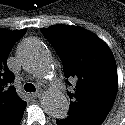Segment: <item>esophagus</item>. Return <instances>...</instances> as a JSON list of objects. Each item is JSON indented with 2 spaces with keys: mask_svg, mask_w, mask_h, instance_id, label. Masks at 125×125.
I'll return each mask as SVG.
<instances>
[{
  "mask_svg": "<svg viewBox=\"0 0 125 125\" xmlns=\"http://www.w3.org/2000/svg\"><path fill=\"white\" fill-rule=\"evenodd\" d=\"M31 96L33 98H39L41 96V92H35V93H32Z\"/></svg>",
  "mask_w": 125,
  "mask_h": 125,
  "instance_id": "esophagus-1",
  "label": "esophagus"
}]
</instances>
